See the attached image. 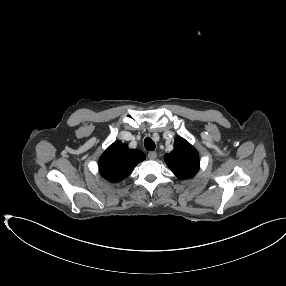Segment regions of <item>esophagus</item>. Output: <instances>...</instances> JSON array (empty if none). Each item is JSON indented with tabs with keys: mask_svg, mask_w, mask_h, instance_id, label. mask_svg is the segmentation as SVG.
Listing matches in <instances>:
<instances>
[{
	"mask_svg": "<svg viewBox=\"0 0 286 286\" xmlns=\"http://www.w3.org/2000/svg\"><path fill=\"white\" fill-rule=\"evenodd\" d=\"M148 158L150 160H155L157 158V153L156 152H149L148 153Z\"/></svg>",
	"mask_w": 286,
	"mask_h": 286,
	"instance_id": "34e87169",
	"label": "esophagus"
}]
</instances>
